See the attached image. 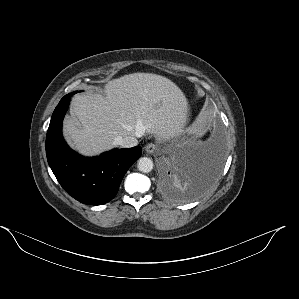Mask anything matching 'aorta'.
<instances>
[{
	"label": "aorta",
	"mask_w": 299,
	"mask_h": 299,
	"mask_svg": "<svg viewBox=\"0 0 299 299\" xmlns=\"http://www.w3.org/2000/svg\"><path fill=\"white\" fill-rule=\"evenodd\" d=\"M138 170L143 173H149L153 169V161L150 158L142 157L137 164Z\"/></svg>",
	"instance_id": "1"
}]
</instances>
